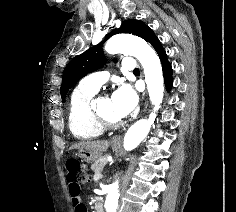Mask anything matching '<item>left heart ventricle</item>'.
I'll return each instance as SVG.
<instances>
[{
  "label": "left heart ventricle",
  "mask_w": 236,
  "mask_h": 212,
  "mask_svg": "<svg viewBox=\"0 0 236 212\" xmlns=\"http://www.w3.org/2000/svg\"><path fill=\"white\" fill-rule=\"evenodd\" d=\"M99 111L110 120H120L113 111L111 96H105L99 99L97 103Z\"/></svg>",
  "instance_id": "obj_1"
}]
</instances>
